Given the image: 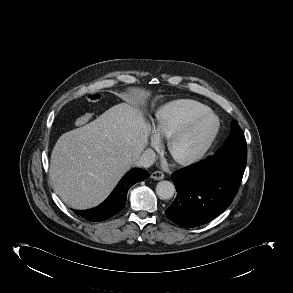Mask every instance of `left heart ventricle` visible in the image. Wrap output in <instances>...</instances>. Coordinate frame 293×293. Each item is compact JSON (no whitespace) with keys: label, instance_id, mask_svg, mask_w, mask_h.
Returning a JSON list of instances; mask_svg holds the SVG:
<instances>
[{"label":"left heart ventricle","instance_id":"left-heart-ventricle-1","mask_svg":"<svg viewBox=\"0 0 293 293\" xmlns=\"http://www.w3.org/2000/svg\"><path fill=\"white\" fill-rule=\"evenodd\" d=\"M210 127L211 124L208 121L196 126L191 132L176 143L174 147L175 155L177 157H188L194 154L208 135Z\"/></svg>","mask_w":293,"mask_h":293}]
</instances>
